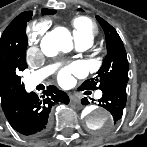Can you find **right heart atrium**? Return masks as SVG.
Here are the masks:
<instances>
[{
    "instance_id": "right-heart-atrium-1",
    "label": "right heart atrium",
    "mask_w": 147,
    "mask_h": 147,
    "mask_svg": "<svg viewBox=\"0 0 147 147\" xmlns=\"http://www.w3.org/2000/svg\"><path fill=\"white\" fill-rule=\"evenodd\" d=\"M44 32V28L41 24H35L31 27L30 29V38L32 40V44L29 50L30 54H34L37 52L38 47L37 44L40 40V38L42 37Z\"/></svg>"
}]
</instances>
